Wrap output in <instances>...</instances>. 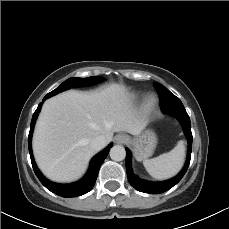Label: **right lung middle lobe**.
Masks as SVG:
<instances>
[{
  "mask_svg": "<svg viewBox=\"0 0 229 229\" xmlns=\"http://www.w3.org/2000/svg\"><path fill=\"white\" fill-rule=\"evenodd\" d=\"M102 78L100 76H92L88 78H70L63 82L59 87H57L55 90L51 91L46 95L47 98L54 96L62 91H65L72 87H81V86H88L95 84L99 81H101Z\"/></svg>",
  "mask_w": 229,
  "mask_h": 229,
  "instance_id": "dd1d6c3e",
  "label": "right lung middle lobe"
}]
</instances>
